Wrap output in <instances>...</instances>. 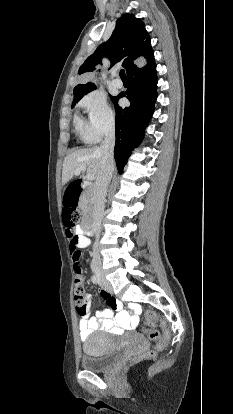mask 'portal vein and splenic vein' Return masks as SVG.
Masks as SVG:
<instances>
[{"mask_svg":"<svg viewBox=\"0 0 233 414\" xmlns=\"http://www.w3.org/2000/svg\"><path fill=\"white\" fill-rule=\"evenodd\" d=\"M85 170H86V167L85 166H82V167H80L79 169H77L75 171V174L78 175L81 171H85ZM86 178H87V180L92 181V180L95 179V176L93 174H87L86 175Z\"/></svg>","mask_w":233,"mask_h":414,"instance_id":"1","label":"portal vein and splenic vein"}]
</instances>
